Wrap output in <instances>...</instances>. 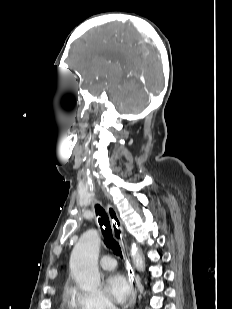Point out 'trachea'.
Segmentation results:
<instances>
[{
    "instance_id": "1",
    "label": "trachea",
    "mask_w": 232,
    "mask_h": 309,
    "mask_svg": "<svg viewBox=\"0 0 232 309\" xmlns=\"http://www.w3.org/2000/svg\"><path fill=\"white\" fill-rule=\"evenodd\" d=\"M95 208H96V216H98V222L105 238V244L109 248H111L117 256H120L122 258L121 247L113 237L111 224L105 210L98 204L96 205Z\"/></svg>"
}]
</instances>
